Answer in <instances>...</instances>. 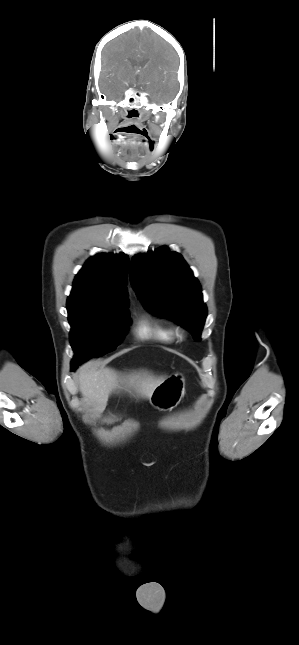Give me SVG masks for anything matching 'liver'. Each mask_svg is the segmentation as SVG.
Returning <instances> with one entry per match:
<instances>
[{"mask_svg":"<svg viewBox=\"0 0 299 645\" xmlns=\"http://www.w3.org/2000/svg\"><path fill=\"white\" fill-rule=\"evenodd\" d=\"M165 378L148 372L120 374L110 368L97 369L94 362L81 366L78 375L81 394L94 415L99 416L106 408L109 396L124 390L143 398H150L154 389Z\"/></svg>","mask_w":299,"mask_h":645,"instance_id":"liver-1","label":"liver"}]
</instances>
